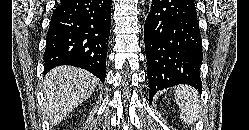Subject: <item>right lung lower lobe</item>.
<instances>
[{
    "label": "right lung lower lobe",
    "instance_id": "98d812e1",
    "mask_svg": "<svg viewBox=\"0 0 249 130\" xmlns=\"http://www.w3.org/2000/svg\"><path fill=\"white\" fill-rule=\"evenodd\" d=\"M111 24V0H64L53 11L44 53L45 72L83 68L102 82Z\"/></svg>",
    "mask_w": 249,
    "mask_h": 130
}]
</instances>
